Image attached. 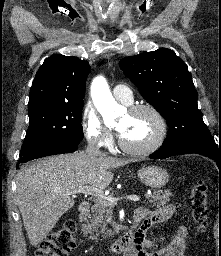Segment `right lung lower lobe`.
I'll return each instance as SVG.
<instances>
[{
    "label": "right lung lower lobe",
    "instance_id": "1",
    "mask_svg": "<svg viewBox=\"0 0 221 256\" xmlns=\"http://www.w3.org/2000/svg\"><path fill=\"white\" fill-rule=\"evenodd\" d=\"M80 141L81 140H59L45 143L21 156L19 163L49 155L74 152L77 150Z\"/></svg>",
    "mask_w": 221,
    "mask_h": 256
}]
</instances>
